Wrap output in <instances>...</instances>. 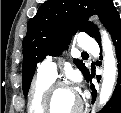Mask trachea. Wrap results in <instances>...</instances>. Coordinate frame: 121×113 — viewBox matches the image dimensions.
Masks as SVG:
<instances>
[{
    "instance_id": "trachea-1",
    "label": "trachea",
    "mask_w": 121,
    "mask_h": 113,
    "mask_svg": "<svg viewBox=\"0 0 121 113\" xmlns=\"http://www.w3.org/2000/svg\"><path fill=\"white\" fill-rule=\"evenodd\" d=\"M82 54L87 55V53H86V52H83Z\"/></svg>"
}]
</instances>
